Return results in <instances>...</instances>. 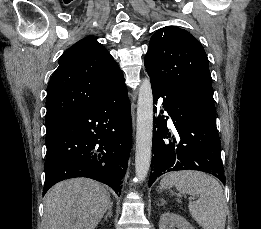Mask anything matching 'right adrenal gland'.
I'll use <instances>...</instances> for the list:
<instances>
[{
	"label": "right adrenal gland",
	"instance_id": "obj_1",
	"mask_svg": "<svg viewBox=\"0 0 261 229\" xmlns=\"http://www.w3.org/2000/svg\"><path fill=\"white\" fill-rule=\"evenodd\" d=\"M112 207H113V203H110V205L108 207V213L104 217V223H105V221H107L108 217H112Z\"/></svg>",
	"mask_w": 261,
	"mask_h": 229
}]
</instances>
